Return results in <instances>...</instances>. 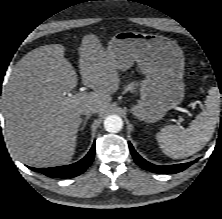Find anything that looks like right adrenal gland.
Here are the masks:
<instances>
[{
	"label": "right adrenal gland",
	"instance_id": "2a0ac1e0",
	"mask_svg": "<svg viewBox=\"0 0 222 219\" xmlns=\"http://www.w3.org/2000/svg\"><path fill=\"white\" fill-rule=\"evenodd\" d=\"M90 119V115H88L84 120L80 130H83L87 124V121Z\"/></svg>",
	"mask_w": 222,
	"mask_h": 219
}]
</instances>
